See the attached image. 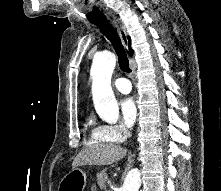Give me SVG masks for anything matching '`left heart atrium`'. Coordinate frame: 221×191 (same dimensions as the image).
Here are the masks:
<instances>
[{"label": "left heart atrium", "instance_id": "left-heart-atrium-1", "mask_svg": "<svg viewBox=\"0 0 221 191\" xmlns=\"http://www.w3.org/2000/svg\"><path fill=\"white\" fill-rule=\"evenodd\" d=\"M123 121L128 127H132L137 119V105L133 97H126L121 101Z\"/></svg>", "mask_w": 221, "mask_h": 191}]
</instances>
